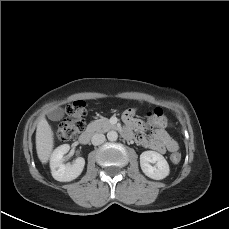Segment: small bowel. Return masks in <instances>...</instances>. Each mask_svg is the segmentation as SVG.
Segmentation results:
<instances>
[{"instance_id":"c3829d8e","label":"small bowel","mask_w":229,"mask_h":229,"mask_svg":"<svg viewBox=\"0 0 229 229\" xmlns=\"http://www.w3.org/2000/svg\"><path fill=\"white\" fill-rule=\"evenodd\" d=\"M123 121L133 139L140 144L141 146L154 150L158 153H165L166 149H169L170 144H176V141L171 138L166 128L168 127V121L163 115V112L160 108H157L153 114L149 115L150 121L154 126L152 133L145 137L142 134H134L133 130L141 129L143 124L136 118V110L134 108H129L123 113ZM130 139V138H126Z\"/></svg>"}]
</instances>
